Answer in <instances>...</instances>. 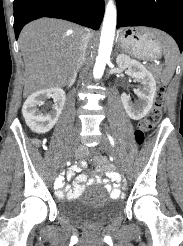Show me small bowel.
<instances>
[{
    "instance_id": "c3829d8e",
    "label": "small bowel",
    "mask_w": 183,
    "mask_h": 246,
    "mask_svg": "<svg viewBox=\"0 0 183 246\" xmlns=\"http://www.w3.org/2000/svg\"><path fill=\"white\" fill-rule=\"evenodd\" d=\"M85 163L83 161L73 165L67 172V179H72L77 172H79ZM99 173H104L105 177L102 178ZM118 174L109 168H101L98 173L94 174L90 178L86 174L78 175L73 183V187H64L65 180H53L51 188L57 189L56 193L60 199H74L80 196L84 190L85 184H102L107 191L110 192V198H127V193H121L124 191V183H127V178H120L118 182Z\"/></svg>"
}]
</instances>
